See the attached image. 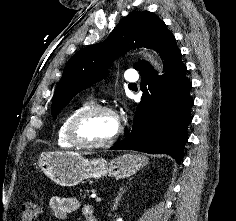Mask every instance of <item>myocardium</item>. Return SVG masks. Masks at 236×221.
I'll return each instance as SVG.
<instances>
[{"mask_svg": "<svg viewBox=\"0 0 236 221\" xmlns=\"http://www.w3.org/2000/svg\"><path fill=\"white\" fill-rule=\"evenodd\" d=\"M108 113L113 115L118 120V115L115 112V110L107 105H91L88 106L81 111H79L69 122L68 128H67V138L68 140L78 148L82 149H99L104 148L113 145L120 137L121 135V126L120 123H118V129L117 132L114 134L113 137L106 141L102 142H88L83 140L79 135V128L80 125L83 123L85 119L88 117L96 114V113Z\"/></svg>", "mask_w": 236, "mask_h": 221, "instance_id": "1", "label": "myocardium"}]
</instances>
